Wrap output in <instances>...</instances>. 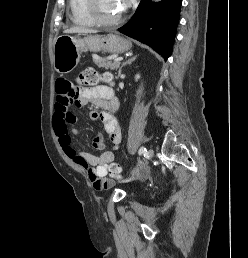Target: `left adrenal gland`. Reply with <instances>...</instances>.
<instances>
[{
	"instance_id": "left-adrenal-gland-1",
	"label": "left adrenal gland",
	"mask_w": 248,
	"mask_h": 258,
	"mask_svg": "<svg viewBox=\"0 0 248 258\" xmlns=\"http://www.w3.org/2000/svg\"><path fill=\"white\" fill-rule=\"evenodd\" d=\"M136 58H137V56H133V57L127 59L125 62H123L122 65H121V67L119 68L118 76L121 75L122 68H123L125 65L131 64L133 61L136 60Z\"/></svg>"
}]
</instances>
